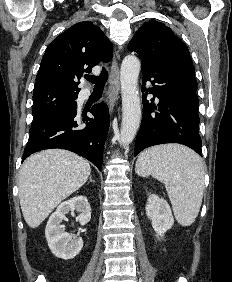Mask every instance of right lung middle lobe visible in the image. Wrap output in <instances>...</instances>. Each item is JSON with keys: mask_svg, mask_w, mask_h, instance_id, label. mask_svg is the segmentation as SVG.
Segmentation results:
<instances>
[{"mask_svg": "<svg viewBox=\"0 0 232 282\" xmlns=\"http://www.w3.org/2000/svg\"><path fill=\"white\" fill-rule=\"evenodd\" d=\"M78 94L60 90H43L33 92V121L38 124L59 111L77 107Z\"/></svg>", "mask_w": 232, "mask_h": 282, "instance_id": "right-lung-middle-lobe-1", "label": "right lung middle lobe"}]
</instances>
